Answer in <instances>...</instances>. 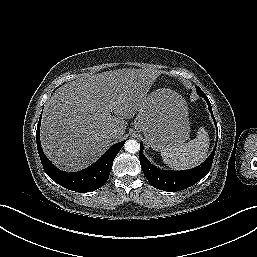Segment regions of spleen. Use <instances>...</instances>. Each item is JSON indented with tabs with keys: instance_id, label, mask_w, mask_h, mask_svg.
Wrapping results in <instances>:
<instances>
[{
	"instance_id": "spleen-1",
	"label": "spleen",
	"mask_w": 257,
	"mask_h": 257,
	"mask_svg": "<svg viewBox=\"0 0 257 257\" xmlns=\"http://www.w3.org/2000/svg\"><path fill=\"white\" fill-rule=\"evenodd\" d=\"M209 150V136L204 127H200L195 139L161 151L165 164L174 169H189L202 163Z\"/></svg>"
}]
</instances>
